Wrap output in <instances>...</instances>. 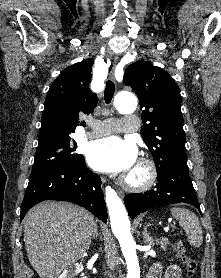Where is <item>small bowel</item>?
Returning <instances> with one entry per match:
<instances>
[{
    "instance_id": "obj_1",
    "label": "small bowel",
    "mask_w": 221,
    "mask_h": 278,
    "mask_svg": "<svg viewBox=\"0 0 221 278\" xmlns=\"http://www.w3.org/2000/svg\"><path fill=\"white\" fill-rule=\"evenodd\" d=\"M161 266L159 264H155L151 268V272L148 278H161ZM181 277V269L177 264L170 265L163 278H180Z\"/></svg>"
}]
</instances>
